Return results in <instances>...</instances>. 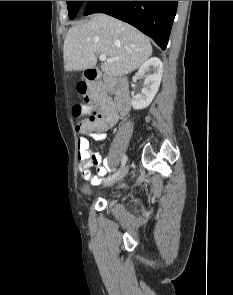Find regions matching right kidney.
I'll list each match as a JSON object with an SVG mask.
<instances>
[{
	"label": "right kidney",
	"instance_id": "1",
	"mask_svg": "<svg viewBox=\"0 0 233 295\" xmlns=\"http://www.w3.org/2000/svg\"><path fill=\"white\" fill-rule=\"evenodd\" d=\"M152 71V74L145 76L146 72ZM163 73V64L157 57H152L145 61L138 70L139 76H145L144 87L141 92L134 95L132 92L131 104L135 110H141L150 105L158 92Z\"/></svg>",
	"mask_w": 233,
	"mask_h": 295
}]
</instances>
